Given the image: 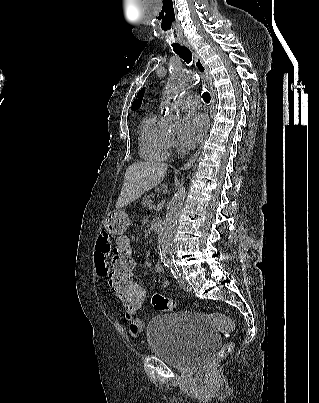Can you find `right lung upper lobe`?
I'll use <instances>...</instances> for the list:
<instances>
[{
    "label": "right lung upper lobe",
    "mask_w": 319,
    "mask_h": 403,
    "mask_svg": "<svg viewBox=\"0 0 319 403\" xmlns=\"http://www.w3.org/2000/svg\"><path fill=\"white\" fill-rule=\"evenodd\" d=\"M143 93L144 88L138 92L137 97L132 104V110H137L138 108H140L143 99Z\"/></svg>",
    "instance_id": "1"
}]
</instances>
